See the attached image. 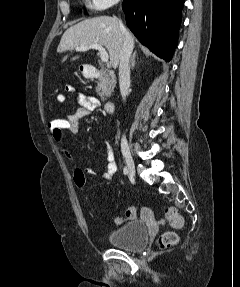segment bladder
<instances>
[{
  "label": "bladder",
  "mask_w": 240,
  "mask_h": 287,
  "mask_svg": "<svg viewBox=\"0 0 240 287\" xmlns=\"http://www.w3.org/2000/svg\"><path fill=\"white\" fill-rule=\"evenodd\" d=\"M148 237V228L145 223L133 221L112 230L107 239L114 247L136 252L146 246Z\"/></svg>",
  "instance_id": "31cf9c89"
}]
</instances>
